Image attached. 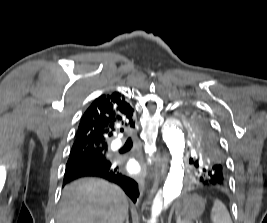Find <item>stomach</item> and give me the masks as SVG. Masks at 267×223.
<instances>
[{
	"label": "stomach",
	"instance_id": "stomach-1",
	"mask_svg": "<svg viewBox=\"0 0 267 223\" xmlns=\"http://www.w3.org/2000/svg\"><path fill=\"white\" fill-rule=\"evenodd\" d=\"M180 216L183 217V223H190L191 220L198 219L204 212L205 200L198 195L187 196L179 206Z\"/></svg>",
	"mask_w": 267,
	"mask_h": 223
}]
</instances>
